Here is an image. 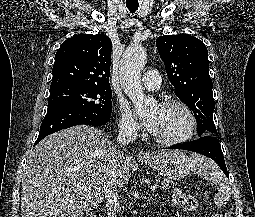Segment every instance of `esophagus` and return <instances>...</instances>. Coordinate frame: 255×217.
Segmentation results:
<instances>
[{
    "label": "esophagus",
    "mask_w": 255,
    "mask_h": 217,
    "mask_svg": "<svg viewBox=\"0 0 255 217\" xmlns=\"http://www.w3.org/2000/svg\"><path fill=\"white\" fill-rule=\"evenodd\" d=\"M138 158L139 159H148L150 158L149 154L143 150L139 151L138 153Z\"/></svg>",
    "instance_id": "esophagus-1"
}]
</instances>
